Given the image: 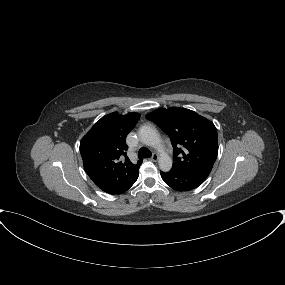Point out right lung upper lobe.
<instances>
[{
    "label": "right lung upper lobe",
    "mask_w": 285,
    "mask_h": 285,
    "mask_svg": "<svg viewBox=\"0 0 285 285\" xmlns=\"http://www.w3.org/2000/svg\"><path fill=\"white\" fill-rule=\"evenodd\" d=\"M138 113L102 117L82 138L80 153L86 173L104 192L116 194L138 178L142 160L132 164L126 156L125 138L138 122Z\"/></svg>",
    "instance_id": "1"
}]
</instances>
